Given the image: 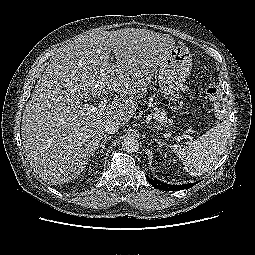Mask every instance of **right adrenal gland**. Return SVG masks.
Returning <instances> with one entry per match:
<instances>
[{
  "instance_id": "right-adrenal-gland-1",
  "label": "right adrenal gland",
  "mask_w": 255,
  "mask_h": 255,
  "mask_svg": "<svg viewBox=\"0 0 255 255\" xmlns=\"http://www.w3.org/2000/svg\"><path fill=\"white\" fill-rule=\"evenodd\" d=\"M112 137L111 136H104V139L102 140V143L96 148V151H100V154L103 153V150L105 149V144L108 140H110ZM100 148V150H99Z\"/></svg>"
}]
</instances>
